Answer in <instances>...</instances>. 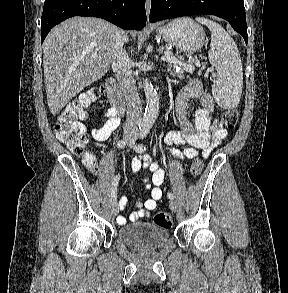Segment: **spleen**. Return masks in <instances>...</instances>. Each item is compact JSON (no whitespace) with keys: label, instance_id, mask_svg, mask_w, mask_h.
Returning <instances> with one entry per match:
<instances>
[{"label":"spleen","instance_id":"1","mask_svg":"<svg viewBox=\"0 0 288 293\" xmlns=\"http://www.w3.org/2000/svg\"><path fill=\"white\" fill-rule=\"evenodd\" d=\"M196 20L211 31L208 56L217 71V78L212 85L213 97L219 106L235 108L243 88V69L237 45L220 24L205 17H197Z\"/></svg>","mask_w":288,"mask_h":293}]
</instances>
